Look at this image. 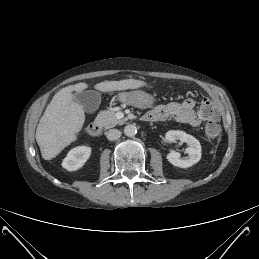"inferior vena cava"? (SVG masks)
Listing matches in <instances>:
<instances>
[{
    "mask_svg": "<svg viewBox=\"0 0 259 259\" xmlns=\"http://www.w3.org/2000/svg\"><path fill=\"white\" fill-rule=\"evenodd\" d=\"M107 139L110 141L117 140L121 137V131L117 129H111L107 133Z\"/></svg>",
    "mask_w": 259,
    "mask_h": 259,
    "instance_id": "1",
    "label": "inferior vena cava"
}]
</instances>
